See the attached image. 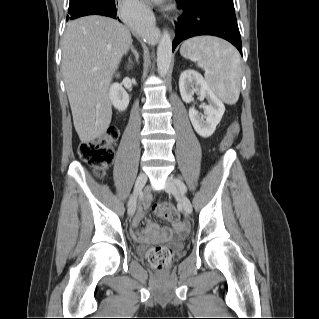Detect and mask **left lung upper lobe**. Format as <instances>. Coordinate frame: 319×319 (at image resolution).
Segmentation results:
<instances>
[{"mask_svg":"<svg viewBox=\"0 0 319 319\" xmlns=\"http://www.w3.org/2000/svg\"><path fill=\"white\" fill-rule=\"evenodd\" d=\"M206 4L235 12L233 0H200Z\"/></svg>","mask_w":319,"mask_h":319,"instance_id":"5c2ea615","label":"left lung upper lobe"}]
</instances>
